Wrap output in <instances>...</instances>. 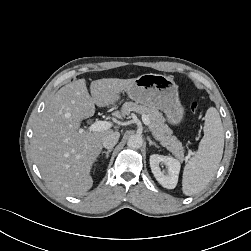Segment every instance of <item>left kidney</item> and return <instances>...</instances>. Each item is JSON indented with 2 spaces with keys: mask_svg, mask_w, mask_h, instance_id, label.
Returning <instances> with one entry per match:
<instances>
[{
  "mask_svg": "<svg viewBox=\"0 0 251 251\" xmlns=\"http://www.w3.org/2000/svg\"><path fill=\"white\" fill-rule=\"evenodd\" d=\"M160 163L167 166V174L161 171L159 167ZM150 167L154 177L164 188L174 189L176 187L181 168V164L177 159L170 156L153 154L150 156Z\"/></svg>",
  "mask_w": 251,
  "mask_h": 251,
  "instance_id": "obj_1",
  "label": "left kidney"
}]
</instances>
